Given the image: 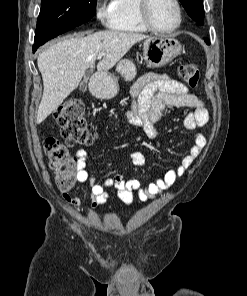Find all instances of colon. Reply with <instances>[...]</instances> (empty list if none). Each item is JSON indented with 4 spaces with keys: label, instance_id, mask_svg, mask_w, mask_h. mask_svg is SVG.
Segmentation results:
<instances>
[{
    "label": "colon",
    "instance_id": "5ec220e1",
    "mask_svg": "<svg viewBox=\"0 0 247 296\" xmlns=\"http://www.w3.org/2000/svg\"><path fill=\"white\" fill-rule=\"evenodd\" d=\"M178 75L191 88H196L199 84L200 72L192 62L181 64ZM54 120L66 145L50 136L44 137L43 145L49 166L55 173L57 186L61 190H68L75 183L79 168L78 158L68 147L89 145L94 140V134L88 129L86 109L79 99H69L59 106L54 113Z\"/></svg>",
    "mask_w": 247,
    "mask_h": 296
}]
</instances>
